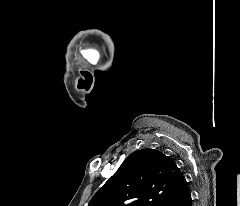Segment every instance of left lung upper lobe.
I'll return each mask as SVG.
<instances>
[{"label": "left lung upper lobe", "mask_w": 240, "mask_h": 206, "mask_svg": "<svg viewBox=\"0 0 240 206\" xmlns=\"http://www.w3.org/2000/svg\"><path fill=\"white\" fill-rule=\"evenodd\" d=\"M179 175L178 166L162 152L135 151L93 196L89 206H164Z\"/></svg>", "instance_id": "obj_1"}]
</instances>
